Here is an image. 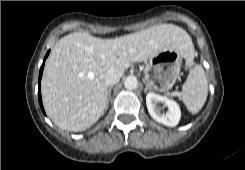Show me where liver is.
<instances>
[{
  "instance_id": "1",
  "label": "liver",
  "mask_w": 245,
  "mask_h": 170,
  "mask_svg": "<svg viewBox=\"0 0 245 170\" xmlns=\"http://www.w3.org/2000/svg\"><path fill=\"white\" fill-rule=\"evenodd\" d=\"M175 49L188 61L194 47L188 33L173 24H161L114 39H101L85 32L62 37L48 57L41 92L48 117L59 128L84 131L102 116L108 100L105 74L126 70Z\"/></svg>"
}]
</instances>
